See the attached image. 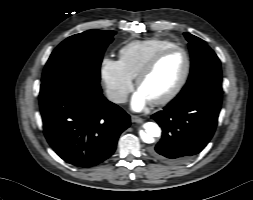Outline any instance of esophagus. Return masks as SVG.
Listing matches in <instances>:
<instances>
[{"instance_id": "34e87169", "label": "esophagus", "mask_w": 253, "mask_h": 200, "mask_svg": "<svg viewBox=\"0 0 253 200\" xmlns=\"http://www.w3.org/2000/svg\"><path fill=\"white\" fill-rule=\"evenodd\" d=\"M131 121L134 122V123H143L144 120L142 118L136 116V115H132L131 116Z\"/></svg>"}]
</instances>
